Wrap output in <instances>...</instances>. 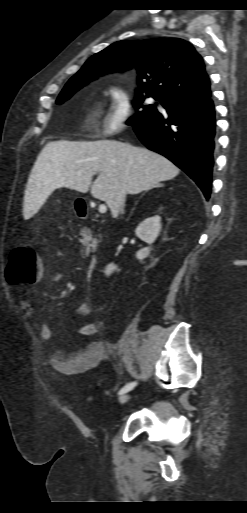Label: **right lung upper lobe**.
Listing matches in <instances>:
<instances>
[{
  "mask_svg": "<svg viewBox=\"0 0 247 513\" xmlns=\"http://www.w3.org/2000/svg\"><path fill=\"white\" fill-rule=\"evenodd\" d=\"M138 73L139 94L162 102L193 100L211 95L203 58L187 41L179 38L122 40L90 57L71 78L91 81L113 70Z\"/></svg>",
  "mask_w": 247,
  "mask_h": 513,
  "instance_id": "1",
  "label": "right lung upper lobe"
}]
</instances>
